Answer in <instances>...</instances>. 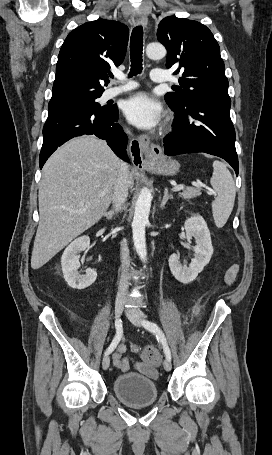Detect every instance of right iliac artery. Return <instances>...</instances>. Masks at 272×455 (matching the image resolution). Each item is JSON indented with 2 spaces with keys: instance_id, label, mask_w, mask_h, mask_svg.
<instances>
[{
  "instance_id": "82829eb1",
  "label": "right iliac artery",
  "mask_w": 272,
  "mask_h": 455,
  "mask_svg": "<svg viewBox=\"0 0 272 455\" xmlns=\"http://www.w3.org/2000/svg\"><path fill=\"white\" fill-rule=\"evenodd\" d=\"M115 328H116V335H115L114 339L112 340L111 344L109 345V347L107 348L105 355H109L110 353H112L114 351V349L117 347L118 343L120 342L122 332H123L121 319H119V318L116 319Z\"/></svg>"
}]
</instances>
